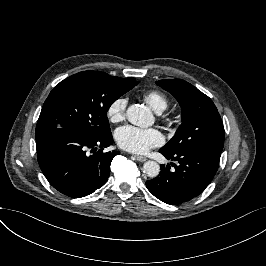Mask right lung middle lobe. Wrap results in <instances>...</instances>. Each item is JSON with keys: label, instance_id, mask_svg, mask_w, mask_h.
<instances>
[{"label": "right lung middle lobe", "instance_id": "obj_1", "mask_svg": "<svg viewBox=\"0 0 266 266\" xmlns=\"http://www.w3.org/2000/svg\"><path fill=\"white\" fill-rule=\"evenodd\" d=\"M138 84L99 71L74 74L57 84L44 102L35 138L67 129L92 138L111 133L107 111L120 96Z\"/></svg>", "mask_w": 266, "mask_h": 266}]
</instances>
